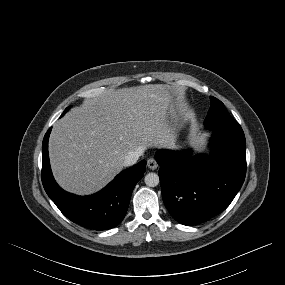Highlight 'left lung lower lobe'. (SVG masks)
Listing matches in <instances>:
<instances>
[{
	"label": "left lung lower lobe",
	"mask_w": 285,
	"mask_h": 285,
	"mask_svg": "<svg viewBox=\"0 0 285 285\" xmlns=\"http://www.w3.org/2000/svg\"><path fill=\"white\" fill-rule=\"evenodd\" d=\"M212 155L191 157L159 150L162 198L169 213L184 225H196L224 211L246 175V141L241 128L213 130Z\"/></svg>",
	"instance_id": "left-lung-lower-lobe-1"
}]
</instances>
